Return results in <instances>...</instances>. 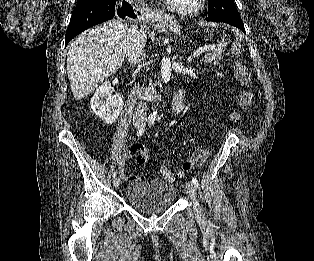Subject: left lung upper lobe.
<instances>
[{
    "label": "left lung upper lobe",
    "mask_w": 314,
    "mask_h": 261,
    "mask_svg": "<svg viewBox=\"0 0 314 261\" xmlns=\"http://www.w3.org/2000/svg\"><path fill=\"white\" fill-rule=\"evenodd\" d=\"M208 18L213 21H241L234 0H209Z\"/></svg>",
    "instance_id": "left-lung-upper-lobe-1"
}]
</instances>
